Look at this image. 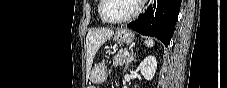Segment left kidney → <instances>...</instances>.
<instances>
[{
    "label": "left kidney",
    "instance_id": "1",
    "mask_svg": "<svg viewBox=\"0 0 227 88\" xmlns=\"http://www.w3.org/2000/svg\"><path fill=\"white\" fill-rule=\"evenodd\" d=\"M157 69V61L154 56L146 57L140 65L137 67V70L141 72L146 80H151Z\"/></svg>",
    "mask_w": 227,
    "mask_h": 88
}]
</instances>
